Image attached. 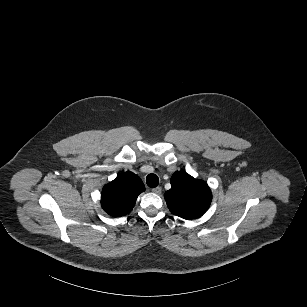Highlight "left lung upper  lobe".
Returning a JSON list of instances; mask_svg holds the SVG:
<instances>
[{
    "instance_id": "5c2ea615",
    "label": "left lung upper lobe",
    "mask_w": 307,
    "mask_h": 307,
    "mask_svg": "<svg viewBox=\"0 0 307 307\" xmlns=\"http://www.w3.org/2000/svg\"><path fill=\"white\" fill-rule=\"evenodd\" d=\"M171 189L164 197L170 212L184 219L202 216L210 206L212 193L203 180H198L185 171H177L171 177Z\"/></svg>"
}]
</instances>
